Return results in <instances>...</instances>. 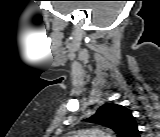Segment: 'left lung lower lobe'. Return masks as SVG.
Masks as SVG:
<instances>
[{
	"label": "left lung lower lobe",
	"instance_id": "1",
	"mask_svg": "<svg viewBox=\"0 0 160 137\" xmlns=\"http://www.w3.org/2000/svg\"><path fill=\"white\" fill-rule=\"evenodd\" d=\"M129 137H139L138 128H136V129L129 135Z\"/></svg>",
	"mask_w": 160,
	"mask_h": 137
}]
</instances>
